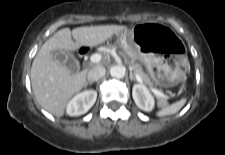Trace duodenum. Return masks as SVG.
<instances>
[{
    "mask_svg": "<svg viewBox=\"0 0 225 155\" xmlns=\"http://www.w3.org/2000/svg\"><path fill=\"white\" fill-rule=\"evenodd\" d=\"M79 52H80V54H83V53H84V50H83V49H81Z\"/></svg>",
    "mask_w": 225,
    "mask_h": 155,
    "instance_id": "1",
    "label": "duodenum"
}]
</instances>
